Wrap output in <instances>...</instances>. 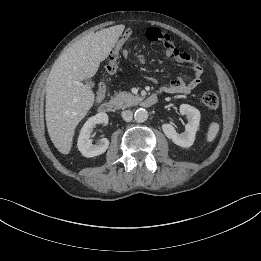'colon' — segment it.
Listing matches in <instances>:
<instances>
[{
	"label": "colon",
	"mask_w": 261,
	"mask_h": 261,
	"mask_svg": "<svg viewBox=\"0 0 261 261\" xmlns=\"http://www.w3.org/2000/svg\"><path fill=\"white\" fill-rule=\"evenodd\" d=\"M133 37V31L131 29H126L123 33V36L116 42L115 50L111 53L108 60L106 71L109 74H114L118 70V62L122 60V53L124 48H126L130 43ZM105 89L104 85L99 86L98 91H103ZM202 103L204 106L210 110H214L219 105V97L213 91H207L202 95Z\"/></svg>",
	"instance_id": "5ec220e1"
}]
</instances>
